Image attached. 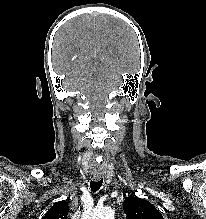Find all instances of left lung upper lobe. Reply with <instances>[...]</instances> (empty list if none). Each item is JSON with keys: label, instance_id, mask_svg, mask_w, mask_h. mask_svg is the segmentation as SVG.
Returning a JSON list of instances; mask_svg holds the SVG:
<instances>
[{"label": "left lung upper lobe", "instance_id": "1", "mask_svg": "<svg viewBox=\"0 0 206 219\" xmlns=\"http://www.w3.org/2000/svg\"><path fill=\"white\" fill-rule=\"evenodd\" d=\"M126 219H163L162 214L145 199L126 197L123 202Z\"/></svg>", "mask_w": 206, "mask_h": 219}]
</instances>
